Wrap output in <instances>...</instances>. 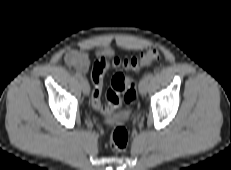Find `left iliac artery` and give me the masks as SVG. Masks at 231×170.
Masks as SVG:
<instances>
[{"label": "left iliac artery", "mask_w": 231, "mask_h": 170, "mask_svg": "<svg viewBox=\"0 0 231 170\" xmlns=\"http://www.w3.org/2000/svg\"><path fill=\"white\" fill-rule=\"evenodd\" d=\"M153 75H154V74H153L152 72H149V73L146 74L145 77H147V78L150 80V79L153 78Z\"/></svg>", "instance_id": "left-iliac-artery-1"}]
</instances>
